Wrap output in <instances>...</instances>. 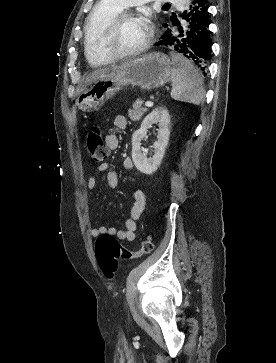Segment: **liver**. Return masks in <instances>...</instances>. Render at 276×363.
<instances>
[{
	"label": "liver",
	"instance_id": "obj_1",
	"mask_svg": "<svg viewBox=\"0 0 276 363\" xmlns=\"http://www.w3.org/2000/svg\"><path fill=\"white\" fill-rule=\"evenodd\" d=\"M115 68V66L112 67H105V68H100L97 70H94L92 73H90L86 79H85V85H88L90 83H92L93 81H95L98 77L110 72L111 70H113Z\"/></svg>",
	"mask_w": 276,
	"mask_h": 363
}]
</instances>
